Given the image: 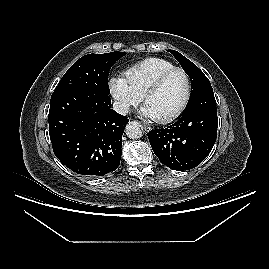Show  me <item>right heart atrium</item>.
<instances>
[{
  "instance_id": "right-heart-atrium-1",
  "label": "right heart atrium",
  "mask_w": 269,
  "mask_h": 269,
  "mask_svg": "<svg viewBox=\"0 0 269 269\" xmlns=\"http://www.w3.org/2000/svg\"><path fill=\"white\" fill-rule=\"evenodd\" d=\"M109 93L120 113H127L131 107L137 105L141 97L128 85L126 79L121 76H113L108 82Z\"/></svg>"
}]
</instances>
